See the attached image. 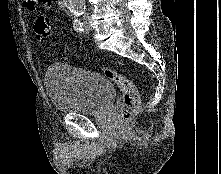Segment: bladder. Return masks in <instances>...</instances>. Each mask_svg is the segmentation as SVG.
Returning <instances> with one entry per match:
<instances>
[{"instance_id":"obj_1","label":"bladder","mask_w":221,"mask_h":174,"mask_svg":"<svg viewBox=\"0 0 221 174\" xmlns=\"http://www.w3.org/2000/svg\"><path fill=\"white\" fill-rule=\"evenodd\" d=\"M45 86L53 106L64 113L99 114L115 100V89L104 75L66 63L51 64Z\"/></svg>"}]
</instances>
